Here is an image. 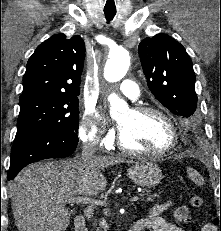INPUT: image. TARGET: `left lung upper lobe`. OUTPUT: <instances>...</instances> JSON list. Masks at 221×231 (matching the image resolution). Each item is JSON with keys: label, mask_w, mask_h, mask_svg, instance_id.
<instances>
[{"label": "left lung upper lobe", "mask_w": 221, "mask_h": 231, "mask_svg": "<svg viewBox=\"0 0 221 231\" xmlns=\"http://www.w3.org/2000/svg\"><path fill=\"white\" fill-rule=\"evenodd\" d=\"M138 52L153 95L172 113L186 118L193 115L195 73L184 47L169 35L157 34L142 40Z\"/></svg>", "instance_id": "5c2ea615"}]
</instances>
